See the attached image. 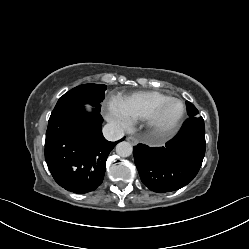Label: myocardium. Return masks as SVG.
<instances>
[{
    "label": "myocardium",
    "instance_id": "1",
    "mask_svg": "<svg viewBox=\"0 0 249 249\" xmlns=\"http://www.w3.org/2000/svg\"><path fill=\"white\" fill-rule=\"evenodd\" d=\"M174 102L179 103L181 106L178 116L171 124L162 125L160 123L162 113L171 103ZM185 112L186 108L184 102L181 99L171 97L158 104L144 119L152 134L158 138H167L178 130L185 116Z\"/></svg>",
    "mask_w": 249,
    "mask_h": 249
}]
</instances>
